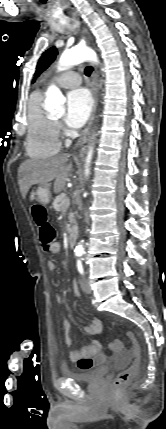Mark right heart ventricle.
Listing matches in <instances>:
<instances>
[{
    "instance_id": "1",
    "label": "right heart ventricle",
    "mask_w": 166,
    "mask_h": 429,
    "mask_svg": "<svg viewBox=\"0 0 166 429\" xmlns=\"http://www.w3.org/2000/svg\"><path fill=\"white\" fill-rule=\"evenodd\" d=\"M43 93L31 94L27 111V154L34 159H43L55 155L60 148L56 124L43 109Z\"/></svg>"
}]
</instances>
